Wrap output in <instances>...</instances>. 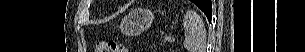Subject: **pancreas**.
Wrapping results in <instances>:
<instances>
[{"label":"pancreas","mask_w":305,"mask_h":52,"mask_svg":"<svg viewBox=\"0 0 305 52\" xmlns=\"http://www.w3.org/2000/svg\"><path fill=\"white\" fill-rule=\"evenodd\" d=\"M173 41V39L170 36H165L163 39L164 43H171Z\"/></svg>","instance_id":"1"}]
</instances>
